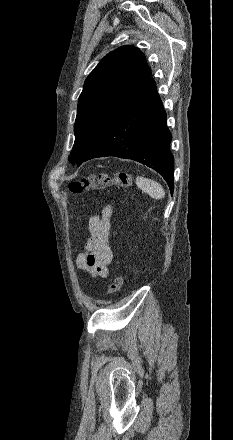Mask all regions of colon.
Instances as JSON below:
<instances>
[{"mask_svg": "<svg viewBox=\"0 0 233 440\" xmlns=\"http://www.w3.org/2000/svg\"><path fill=\"white\" fill-rule=\"evenodd\" d=\"M110 186H132V179L129 174L119 172L114 175L100 174L97 176L84 177L80 180L71 181L68 185L69 191L74 195H80L86 191L106 188ZM123 285V276L117 275L110 284L107 293H117Z\"/></svg>", "mask_w": 233, "mask_h": 440, "instance_id": "colon-1", "label": "colon"}]
</instances>
